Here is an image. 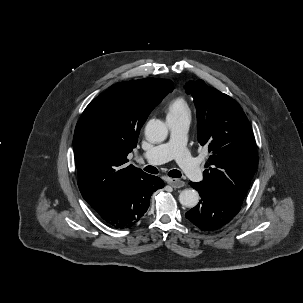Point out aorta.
Here are the masks:
<instances>
[{
	"label": "aorta",
	"mask_w": 303,
	"mask_h": 303,
	"mask_svg": "<svg viewBox=\"0 0 303 303\" xmlns=\"http://www.w3.org/2000/svg\"><path fill=\"white\" fill-rule=\"evenodd\" d=\"M145 135L149 142L160 143L167 138L168 128L161 120L152 119L145 127ZM179 202L187 208H193L199 202V194L195 189H185L179 194Z\"/></svg>",
	"instance_id": "obj_1"
}]
</instances>
